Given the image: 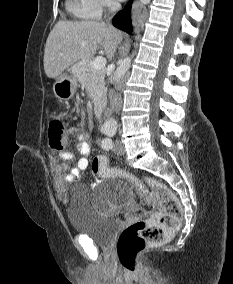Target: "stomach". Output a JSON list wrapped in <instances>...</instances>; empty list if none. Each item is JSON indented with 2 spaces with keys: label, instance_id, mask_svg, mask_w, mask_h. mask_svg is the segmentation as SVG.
<instances>
[{
  "label": "stomach",
  "instance_id": "0dacf381",
  "mask_svg": "<svg viewBox=\"0 0 233 284\" xmlns=\"http://www.w3.org/2000/svg\"><path fill=\"white\" fill-rule=\"evenodd\" d=\"M76 89L77 80L72 74L65 72L55 78L53 92L57 98L68 100L74 96Z\"/></svg>",
  "mask_w": 233,
  "mask_h": 284
}]
</instances>
